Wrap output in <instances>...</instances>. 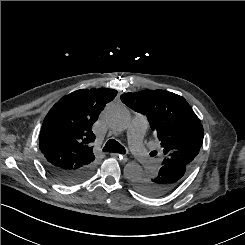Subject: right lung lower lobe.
I'll return each mask as SVG.
<instances>
[{
    "instance_id": "right-lung-lower-lobe-1",
    "label": "right lung lower lobe",
    "mask_w": 245,
    "mask_h": 245,
    "mask_svg": "<svg viewBox=\"0 0 245 245\" xmlns=\"http://www.w3.org/2000/svg\"><path fill=\"white\" fill-rule=\"evenodd\" d=\"M44 166L53 177L67 185H73L86 180L94 171V164L79 170H63L45 162Z\"/></svg>"
}]
</instances>
